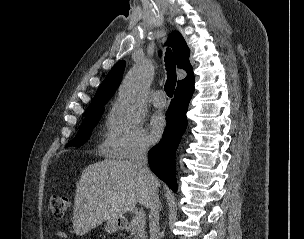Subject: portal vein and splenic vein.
<instances>
[{
  "label": "portal vein and splenic vein",
  "instance_id": "obj_1",
  "mask_svg": "<svg viewBox=\"0 0 304 239\" xmlns=\"http://www.w3.org/2000/svg\"><path fill=\"white\" fill-rule=\"evenodd\" d=\"M144 219H145V213L143 211L136 212L134 221L141 222L144 221Z\"/></svg>",
  "mask_w": 304,
  "mask_h": 239
}]
</instances>
